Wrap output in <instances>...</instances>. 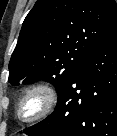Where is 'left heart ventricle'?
I'll return each mask as SVG.
<instances>
[{"mask_svg":"<svg viewBox=\"0 0 117 136\" xmlns=\"http://www.w3.org/2000/svg\"><path fill=\"white\" fill-rule=\"evenodd\" d=\"M42 105V99L38 95H32L27 99L22 107L21 114L24 118H28L38 112Z\"/></svg>","mask_w":117,"mask_h":136,"instance_id":"obj_1","label":"left heart ventricle"}]
</instances>
